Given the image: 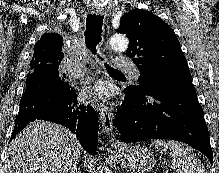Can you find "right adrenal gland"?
Masks as SVG:
<instances>
[{"label":"right adrenal gland","instance_id":"right-adrenal-gland-1","mask_svg":"<svg viewBox=\"0 0 219 173\" xmlns=\"http://www.w3.org/2000/svg\"><path fill=\"white\" fill-rule=\"evenodd\" d=\"M66 173H80L77 164L73 165L69 171H66Z\"/></svg>","mask_w":219,"mask_h":173}]
</instances>
